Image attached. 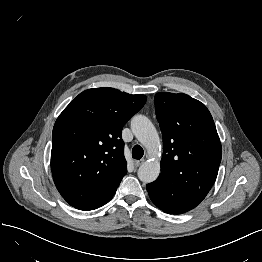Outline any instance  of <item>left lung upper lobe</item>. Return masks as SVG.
<instances>
[{"label": "left lung upper lobe", "instance_id": "5c2ea615", "mask_svg": "<svg viewBox=\"0 0 262 262\" xmlns=\"http://www.w3.org/2000/svg\"><path fill=\"white\" fill-rule=\"evenodd\" d=\"M155 109L163 136L161 173L146 188L161 210L181 214L196 207L213 186L221 143L209 110L189 95L157 93Z\"/></svg>", "mask_w": 262, "mask_h": 262}]
</instances>
